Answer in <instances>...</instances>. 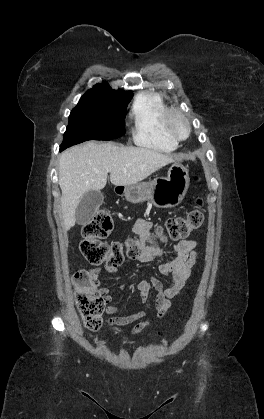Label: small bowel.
Here are the masks:
<instances>
[{
  "mask_svg": "<svg viewBox=\"0 0 264 419\" xmlns=\"http://www.w3.org/2000/svg\"><path fill=\"white\" fill-rule=\"evenodd\" d=\"M152 228V223L146 219L138 220L132 231L140 239H144ZM198 242L196 240H181L173 247V257L167 262H160L158 264L159 271L165 275L171 277V283L169 286L164 287L162 282L156 277H150L148 280H142L137 283L136 289L138 290L141 299L146 303L152 291H156L157 295L155 298V308L157 311V317L163 318L171 306V300L178 297L187 280L191 276L192 267L198 259L196 247ZM161 253L151 248H144L142 254L137 258L142 263L153 262L156 258L160 257ZM109 272H116V268L107 267ZM102 272L101 267L93 268L87 271V273L95 281L97 287L100 286V274ZM124 288V285L121 286ZM101 295L105 298L106 302L112 301L110 290L105 287L98 288ZM107 313L111 315L107 319V323L115 333H120L121 328L125 325L132 324L141 320L145 315V310H140L128 315H120V310L116 306H109ZM152 321L144 320L136 323L131 330L132 334L141 332L152 325ZM124 343L128 344L129 340L124 337Z\"/></svg>",
  "mask_w": 264,
  "mask_h": 419,
  "instance_id": "c3829d8e",
  "label": "small bowel"
}]
</instances>
